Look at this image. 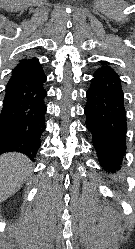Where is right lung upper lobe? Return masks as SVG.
<instances>
[{"label":"right lung upper lobe","instance_id":"obj_1","mask_svg":"<svg viewBox=\"0 0 135 249\" xmlns=\"http://www.w3.org/2000/svg\"><path fill=\"white\" fill-rule=\"evenodd\" d=\"M42 74H44V71L38 59L35 57L33 58L25 57L19 60V63L12 70L9 81L27 79Z\"/></svg>","mask_w":135,"mask_h":249}]
</instances>
